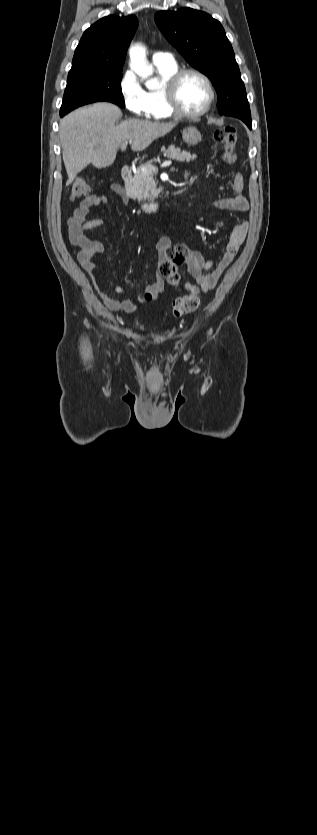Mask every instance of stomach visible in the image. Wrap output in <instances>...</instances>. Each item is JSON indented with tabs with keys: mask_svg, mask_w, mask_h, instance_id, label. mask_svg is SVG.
<instances>
[{
	"mask_svg": "<svg viewBox=\"0 0 317 835\" xmlns=\"http://www.w3.org/2000/svg\"><path fill=\"white\" fill-rule=\"evenodd\" d=\"M182 138L184 142L190 146H194L201 141V133L194 126H188L182 131Z\"/></svg>",
	"mask_w": 317,
	"mask_h": 835,
	"instance_id": "obj_1",
	"label": "stomach"
}]
</instances>
